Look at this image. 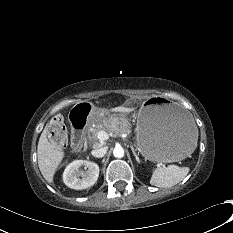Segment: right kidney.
I'll use <instances>...</instances> for the list:
<instances>
[{"mask_svg":"<svg viewBox=\"0 0 233 233\" xmlns=\"http://www.w3.org/2000/svg\"><path fill=\"white\" fill-rule=\"evenodd\" d=\"M85 166L86 171H82L81 167ZM99 166L91 161L75 160L70 163L64 170V183L75 190H82L91 187L98 179Z\"/></svg>","mask_w":233,"mask_h":233,"instance_id":"obj_1","label":"right kidney"}]
</instances>
